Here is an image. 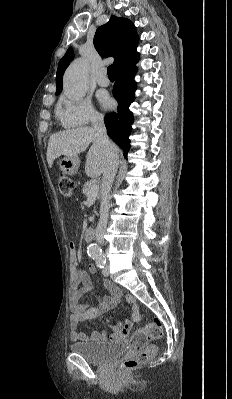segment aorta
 <instances>
[{"mask_svg": "<svg viewBox=\"0 0 232 399\" xmlns=\"http://www.w3.org/2000/svg\"><path fill=\"white\" fill-rule=\"evenodd\" d=\"M88 70L89 65L85 59H77L68 67L63 79V92L65 96L73 101L81 100L88 90ZM91 256L101 254V248L96 244H91L87 248Z\"/></svg>", "mask_w": 232, "mask_h": 399, "instance_id": "762f6f07", "label": "aorta"}]
</instances>
